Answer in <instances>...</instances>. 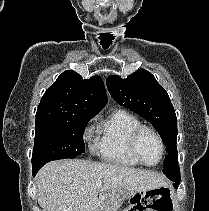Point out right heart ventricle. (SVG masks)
<instances>
[{
  "label": "right heart ventricle",
  "mask_w": 209,
  "mask_h": 211,
  "mask_svg": "<svg viewBox=\"0 0 209 211\" xmlns=\"http://www.w3.org/2000/svg\"><path fill=\"white\" fill-rule=\"evenodd\" d=\"M140 121L125 110H116L96 125L94 153L103 161L125 167H137L140 163L129 149L131 133Z\"/></svg>",
  "instance_id": "1"
}]
</instances>
